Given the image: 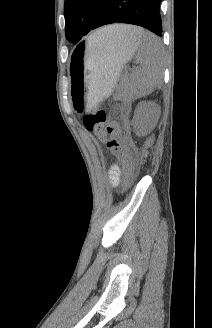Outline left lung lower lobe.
Returning <instances> with one entry per match:
<instances>
[{
  "mask_svg": "<svg viewBox=\"0 0 212 328\" xmlns=\"http://www.w3.org/2000/svg\"><path fill=\"white\" fill-rule=\"evenodd\" d=\"M161 0H103L91 30L112 23L142 26L162 36Z\"/></svg>",
  "mask_w": 212,
  "mask_h": 328,
  "instance_id": "1",
  "label": "left lung lower lobe"
}]
</instances>
